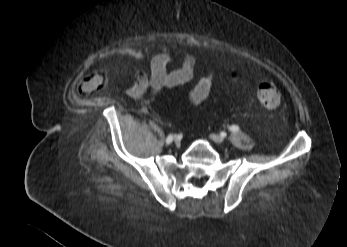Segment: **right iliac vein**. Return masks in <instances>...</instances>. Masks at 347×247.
I'll list each match as a JSON object with an SVG mask.
<instances>
[{
  "label": "right iliac vein",
  "mask_w": 347,
  "mask_h": 247,
  "mask_svg": "<svg viewBox=\"0 0 347 247\" xmlns=\"http://www.w3.org/2000/svg\"><path fill=\"white\" fill-rule=\"evenodd\" d=\"M173 141L175 142V144H178L180 142V139L177 136H175Z\"/></svg>",
  "instance_id": "1"
}]
</instances>
